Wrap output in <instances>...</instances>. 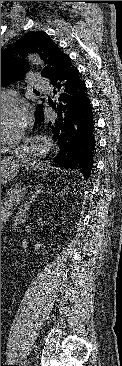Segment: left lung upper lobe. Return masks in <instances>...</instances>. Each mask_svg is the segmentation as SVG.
<instances>
[{"mask_svg": "<svg viewBox=\"0 0 122 366\" xmlns=\"http://www.w3.org/2000/svg\"><path fill=\"white\" fill-rule=\"evenodd\" d=\"M13 52H19L20 54L34 52L41 55L47 64L41 72L43 77H47L57 69L63 58L68 56L57 47L45 32L31 31L22 37L19 43L10 45L1 53V85L12 82L17 71L25 72L27 68V63H21L13 58ZM34 93L39 95L35 90Z\"/></svg>", "mask_w": 122, "mask_h": 366, "instance_id": "left-lung-upper-lobe-1", "label": "left lung upper lobe"}]
</instances>
